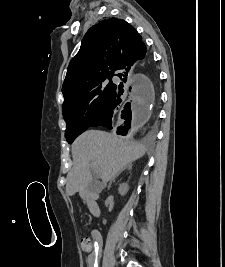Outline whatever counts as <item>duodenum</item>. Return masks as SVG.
Instances as JSON below:
<instances>
[{
    "mask_svg": "<svg viewBox=\"0 0 225 267\" xmlns=\"http://www.w3.org/2000/svg\"><path fill=\"white\" fill-rule=\"evenodd\" d=\"M89 209L94 216L99 215V207L96 201L94 200L89 201Z\"/></svg>",
    "mask_w": 225,
    "mask_h": 267,
    "instance_id": "1",
    "label": "duodenum"
}]
</instances>
